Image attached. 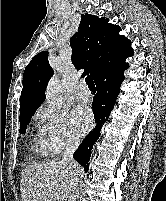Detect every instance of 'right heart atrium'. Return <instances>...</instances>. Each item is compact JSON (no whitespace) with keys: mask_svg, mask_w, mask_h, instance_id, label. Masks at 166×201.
<instances>
[{"mask_svg":"<svg viewBox=\"0 0 166 201\" xmlns=\"http://www.w3.org/2000/svg\"><path fill=\"white\" fill-rule=\"evenodd\" d=\"M40 123V136L50 154H58L66 148L78 145L79 140L74 134L65 112L42 106L36 113Z\"/></svg>","mask_w":166,"mask_h":201,"instance_id":"right-heart-atrium-1","label":"right heart atrium"}]
</instances>
